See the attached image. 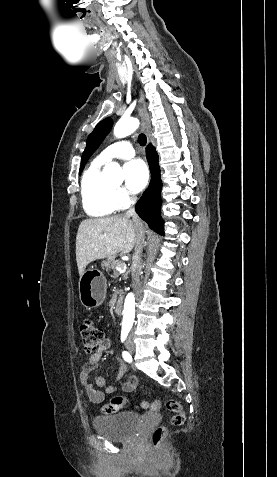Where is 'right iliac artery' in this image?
<instances>
[{"label": "right iliac artery", "mask_w": 277, "mask_h": 477, "mask_svg": "<svg viewBox=\"0 0 277 477\" xmlns=\"http://www.w3.org/2000/svg\"><path fill=\"white\" fill-rule=\"evenodd\" d=\"M127 335H128V331L123 330L122 333H121V341L122 342L126 339ZM122 355H123V358H124L125 361L132 362V357L127 351H123Z\"/></svg>", "instance_id": "1"}]
</instances>
